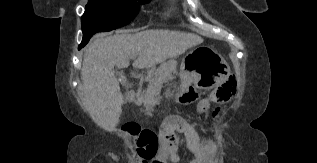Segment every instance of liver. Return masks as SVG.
<instances>
[{
	"label": "liver",
	"instance_id": "6515ba94",
	"mask_svg": "<svg viewBox=\"0 0 317 163\" xmlns=\"http://www.w3.org/2000/svg\"><path fill=\"white\" fill-rule=\"evenodd\" d=\"M202 42L203 38L196 34L166 29L98 35L83 56L81 80L85 109L98 126L114 129L120 121L124 101L114 74L115 66L128 67L133 59L135 68H150Z\"/></svg>",
	"mask_w": 317,
	"mask_h": 163
}]
</instances>
